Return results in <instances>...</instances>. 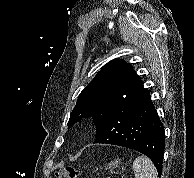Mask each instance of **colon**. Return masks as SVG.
<instances>
[{
	"label": "colon",
	"mask_w": 194,
	"mask_h": 178,
	"mask_svg": "<svg viewBox=\"0 0 194 178\" xmlns=\"http://www.w3.org/2000/svg\"><path fill=\"white\" fill-rule=\"evenodd\" d=\"M81 171L72 166H66L56 172V178H79Z\"/></svg>",
	"instance_id": "1"
}]
</instances>
